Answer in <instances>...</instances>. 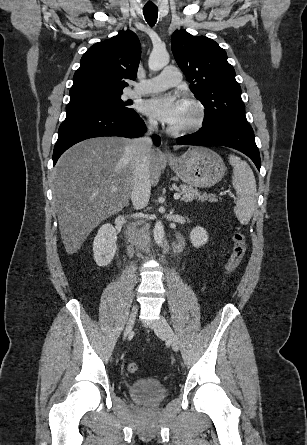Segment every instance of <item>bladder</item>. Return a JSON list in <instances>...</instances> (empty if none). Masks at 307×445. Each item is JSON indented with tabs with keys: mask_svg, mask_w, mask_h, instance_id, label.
Listing matches in <instances>:
<instances>
[{
	"mask_svg": "<svg viewBox=\"0 0 307 445\" xmlns=\"http://www.w3.org/2000/svg\"><path fill=\"white\" fill-rule=\"evenodd\" d=\"M129 396L136 402L155 404L162 401L167 395L165 384L155 378H142L128 386Z\"/></svg>",
	"mask_w": 307,
	"mask_h": 445,
	"instance_id": "1",
	"label": "bladder"
}]
</instances>
